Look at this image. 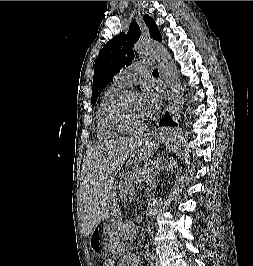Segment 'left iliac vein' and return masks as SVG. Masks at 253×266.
I'll use <instances>...</instances> for the list:
<instances>
[{"label": "left iliac vein", "mask_w": 253, "mask_h": 266, "mask_svg": "<svg viewBox=\"0 0 253 266\" xmlns=\"http://www.w3.org/2000/svg\"><path fill=\"white\" fill-rule=\"evenodd\" d=\"M155 266H161V263H160L159 259H157V261L155 263Z\"/></svg>", "instance_id": "obj_1"}]
</instances>
